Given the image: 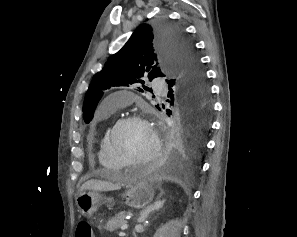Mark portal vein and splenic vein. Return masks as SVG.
<instances>
[{"instance_id":"portal-vein-and-splenic-vein-1","label":"portal vein and splenic vein","mask_w":297,"mask_h":237,"mask_svg":"<svg viewBox=\"0 0 297 237\" xmlns=\"http://www.w3.org/2000/svg\"><path fill=\"white\" fill-rule=\"evenodd\" d=\"M128 223H124L122 226H121V230H126L128 228Z\"/></svg>"}]
</instances>
